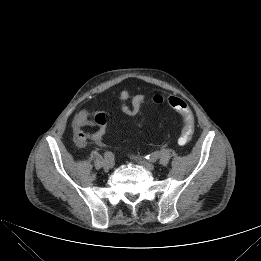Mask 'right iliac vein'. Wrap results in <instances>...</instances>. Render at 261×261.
<instances>
[{
    "mask_svg": "<svg viewBox=\"0 0 261 261\" xmlns=\"http://www.w3.org/2000/svg\"><path fill=\"white\" fill-rule=\"evenodd\" d=\"M112 167H113V164L111 162H108V161L103 162V169L105 171H109Z\"/></svg>",
    "mask_w": 261,
    "mask_h": 261,
    "instance_id": "right-iliac-vein-1",
    "label": "right iliac vein"
}]
</instances>
